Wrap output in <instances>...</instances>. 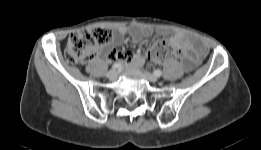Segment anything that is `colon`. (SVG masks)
Wrapping results in <instances>:
<instances>
[{"instance_id":"1","label":"colon","mask_w":261,"mask_h":150,"mask_svg":"<svg viewBox=\"0 0 261 150\" xmlns=\"http://www.w3.org/2000/svg\"><path fill=\"white\" fill-rule=\"evenodd\" d=\"M111 32L101 27L87 28L70 35L65 48V58L70 63H85L93 59L100 48L111 40ZM183 53L167 39H158L148 52L153 62L182 59Z\"/></svg>"}]
</instances>
